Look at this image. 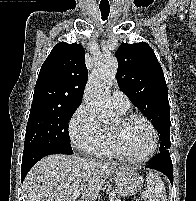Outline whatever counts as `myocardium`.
<instances>
[{
  "instance_id": "f54148a6",
  "label": "myocardium",
  "mask_w": 196,
  "mask_h": 201,
  "mask_svg": "<svg viewBox=\"0 0 196 201\" xmlns=\"http://www.w3.org/2000/svg\"><path fill=\"white\" fill-rule=\"evenodd\" d=\"M118 120H119L120 127L118 129H111L110 133H111V137H112L114 146L116 148V151L118 152L120 157L128 162L137 163V164L145 163L148 160H150L154 156L155 152L157 151L158 143H159V136H158V132L155 125L147 117L142 115H125V116H121ZM135 121L144 122L150 128L152 133L151 149L146 155L139 158L133 157L127 152V150L125 149L123 145L122 135H121V128Z\"/></svg>"
}]
</instances>
